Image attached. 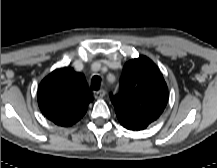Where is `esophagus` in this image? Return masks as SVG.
Masks as SVG:
<instances>
[{"label": "esophagus", "instance_id": "34e87169", "mask_svg": "<svg viewBox=\"0 0 217 168\" xmlns=\"http://www.w3.org/2000/svg\"><path fill=\"white\" fill-rule=\"evenodd\" d=\"M106 92L104 89H100L99 91L94 93V97L95 99H100L103 98L105 96Z\"/></svg>", "mask_w": 217, "mask_h": 168}]
</instances>
